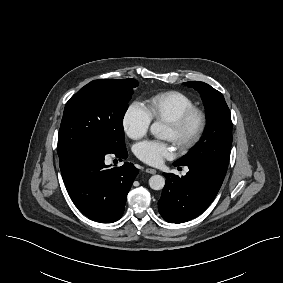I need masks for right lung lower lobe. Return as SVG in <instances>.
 Masks as SVG:
<instances>
[{
    "mask_svg": "<svg viewBox=\"0 0 283 283\" xmlns=\"http://www.w3.org/2000/svg\"><path fill=\"white\" fill-rule=\"evenodd\" d=\"M126 159V146L117 150L82 146L60 158L67 191L75 205L90 219L111 223L121 218L127 194L138 174L132 163L110 168L105 156Z\"/></svg>",
    "mask_w": 283,
    "mask_h": 283,
    "instance_id": "obj_1",
    "label": "right lung lower lobe"
}]
</instances>
